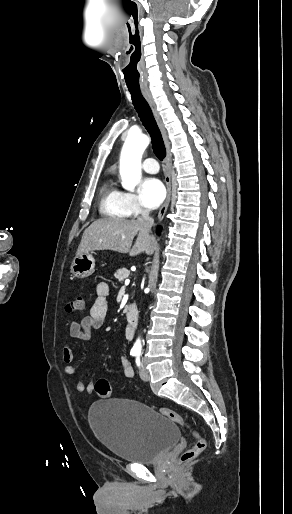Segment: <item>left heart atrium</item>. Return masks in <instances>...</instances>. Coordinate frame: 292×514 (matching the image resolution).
<instances>
[{"label": "left heart atrium", "mask_w": 292, "mask_h": 514, "mask_svg": "<svg viewBox=\"0 0 292 514\" xmlns=\"http://www.w3.org/2000/svg\"><path fill=\"white\" fill-rule=\"evenodd\" d=\"M139 194L147 208H155L163 201L165 188L159 179L148 178L141 183Z\"/></svg>", "instance_id": "39dd6f15"}]
</instances>
